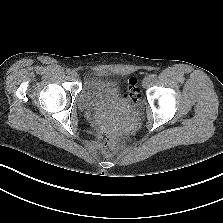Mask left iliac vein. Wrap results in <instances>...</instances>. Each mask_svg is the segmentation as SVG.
Returning a JSON list of instances; mask_svg holds the SVG:
<instances>
[{"mask_svg": "<svg viewBox=\"0 0 223 223\" xmlns=\"http://www.w3.org/2000/svg\"><path fill=\"white\" fill-rule=\"evenodd\" d=\"M150 82H151L150 76H146L142 81V86L144 88H147L149 86Z\"/></svg>", "mask_w": 223, "mask_h": 223, "instance_id": "left-iliac-vein-1", "label": "left iliac vein"}]
</instances>
